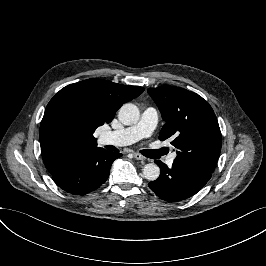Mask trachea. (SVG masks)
Instances as JSON below:
<instances>
[{
    "label": "trachea",
    "mask_w": 266,
    "mask_h": 266,
    "mask_svg": "<svg viewBox=\"0 0 266 266\" xmlns=\"http://www.w3.org/2000/svg\"><path fill=\"white\" fill-rule=\"evenodd\" d=\"M145 152H150V150H145ZM143 155H145V156H146V154H144V153H143Z\"/></svg>",
    "instance_id": "3493384b"
}]
</instances>
